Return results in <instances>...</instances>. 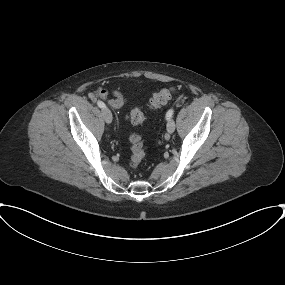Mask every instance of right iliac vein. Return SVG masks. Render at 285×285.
<instances>
[{
  "instance_id": "1",
  "label": "right iliac vein",
  "mask_w": 285,
  "mask_h": 285,
  "mask_svg": "<svg viewBox=\"0 0 285 285\" xmlns=\"http://www.w3.org/2000/svg\"><path fill=\"white\" fill-rule=\"evenodd\" d=\"M102 116L107 124L112 122V113L108 108H103Z\"/></svg>"
}]
</instances>
